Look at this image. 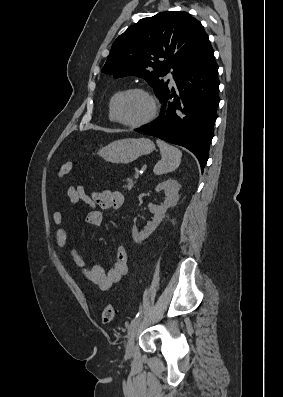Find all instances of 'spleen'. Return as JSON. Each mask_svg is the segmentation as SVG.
Segmentation results:
<instances>
[{
  "instance_id": "1",
  "label": "spleen",
  "mask_w": 283,
  "mask_h": 397,
  "mask_svg": "<svg viewBox=\"0 0 283 397\" xmlns=\"http://www.w3.org/2000/svg\"><path fill=\"white\" fill-rule=\"evenodd\" d=\"M156 143L160 149L161 160L154 166V173L161 175L176 170L181 163L182 152L162 140L158 139Z\"/></svg>"
}]
</instances>
